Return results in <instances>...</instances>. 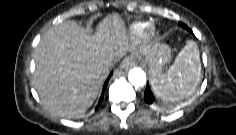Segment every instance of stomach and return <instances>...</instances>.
Returning a JSON list of instances; mask_svg holds the SVG:
<instances>
[{"instance_id":"obj_1","label":"stomach","mask_w":236,"mask_h":135,"mask_svg":"<svg viewBox=\"0 0 236 135\" xmlns=\"http://www.w3.org/2000/svg\"><path fill=\"white\" fill-rule=\"evenodd\" d=\"M143 56L150 67V76L152 77L155 70L162 69L169 62L170 48L166 44L154 42L145 47Z\"/></svg>"}]
</instances>
